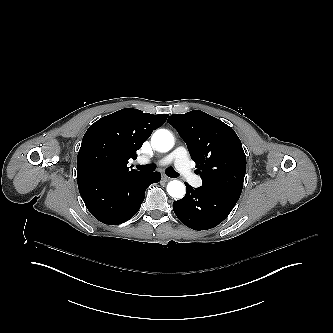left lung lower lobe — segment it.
Masks as SVG:
<instances>
[{
    "label": "left lung lower lobe",
    "mask_w": 333,
    "mask_h": 333,
    "mask_svg": "<svg viewBox=\"0 0 333 333\" xmlns=\"http://www.w3.org/2000/svg\"><path fill=\"white\" fill-rule=\"evenodd\" d=\"M185 185L186 195L173 203V210L182 223L198 231L214 228L225 220L240 197L233 192Z\"/></svg>",
    "instance_id": "obj_1"
}]
</instances>
